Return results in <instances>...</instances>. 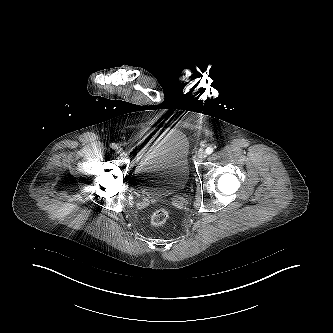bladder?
<instances>
[{
	"instance_id": "bladder-1",
	"label": "bladder",
	"mask_w": 333,
	"mask_h": 333,
	"mask_svg": "<svg viewBox=\"0 0 333 333\" xmlns=\"http://www.w3.org/2000/svg\"><path fill=\"white\" fill-rule=\"evenodd\" d=\"M190 142L181 129L168 131L138 160L134 171L137 190L165 197L185 188L190 175Z\"/></svg>"
}]
</instances>
